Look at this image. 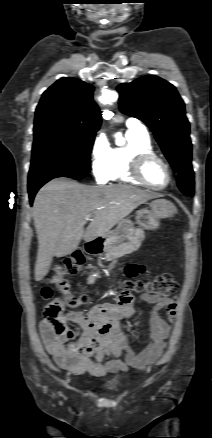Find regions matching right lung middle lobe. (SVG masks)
<instances>
[{
	"instance_id": "right-lung-middle-lobe-1",
	"label": "right lung middle lobe",
	"mask_w": 212,
	"mask_h": 438,
	"mask_svg": "<svg viewBox=\"0 0 212 438\" xmlns=\"http://www.w3.org/2000/svg\"><path fill=\"white\" fill-rule=\"evenodd\" d=\"M95 133L45 129L34 132L29 175L44 172L89 173Z\"/></svg>"
}]
</instances>
